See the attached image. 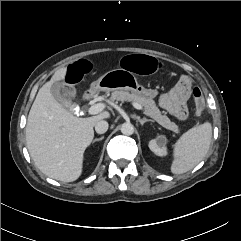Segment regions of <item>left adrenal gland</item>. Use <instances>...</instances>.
<instances>
[{
  "label": "left adrenal gland",
  "mask_w": 241,
  "mask_h": 241,
  "mask_svg": "<svg viewBox=\"0 0 241 241\" xmlns=\"http://www.w3.org/2000/svg\"><path fill=\"white\" fill-rule=\"evenodd\" d=\"M137 119H138V121L140 122L141 125H144V123H146V122H154L153 120L147 119V118L141 119L140 116H137Z\"/></svg>",
  "instance_id": "obj_1"
}]
</instances>
